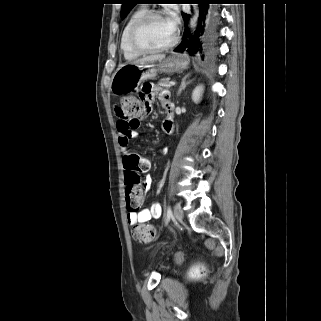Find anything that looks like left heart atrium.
Returning a JSON list of instances; mask_svg holds the SVG:
<instances>
[{"label":"left heart atrium","instance_id":"left-heart-atrium-1","mask_svg":"<svg viewBox=\"0 0 321 321\" xmlns=\"http://www.w3.org/2000/svg\"><path fill=\"white\" fill-rule=\"evenodd\" d=\"M167 20L170 23V25L175 29L177 25V17L175 15H172Z\"/></svg>","mask_w":321,"mask_h":321}]
</instances>
